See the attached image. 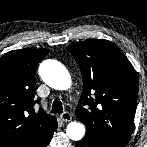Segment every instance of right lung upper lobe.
I'll use <instances>...</instances> for the list:
<instances>
[{"label": "right lung upper lobe", "instance_id": "obj_1", "mask_svg": "<svg viewBox=\"0 0 147 147\" xmlns=\"http://www.w3.org/2000/svg\"><path fill=\"white\" fill-rule=\"evenodd\" d=\"M48 49H20L0 58V147H33L55 126V117L33 106L35 71Z\"/></svg>", "mask_w": 147, "mask_h": 147}]
</instances>
